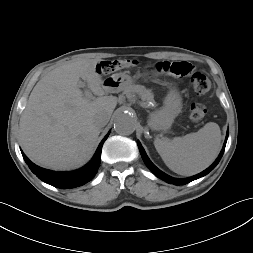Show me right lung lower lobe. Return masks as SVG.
Segmentation results:
<instances>
[{
	"mask_svg": "<svg viewBox=\"0 0 253 253\" xmlns=\"http://www.w3.org/2000/svg\"><path fill=\"white\" fill-rule=\"evenodd\" d=\"M110 133V132H109ZM109 133L104 137V139L99 144L95 155L92 160L83 168L72 171V172H54L41 167H38L32 163L26 155L22 152L23 158L27 163L31 171L42 181L48 183L57 188H74L81 186L90 180H92L98 171L101 159V150L103 143L108 138Z\"/></svg>",
	"mask_w": 253,
	"mask_h": 253,
	"instance_id": "obj_1",
	"label": "right lung lower lobe"
}]
</instances>
